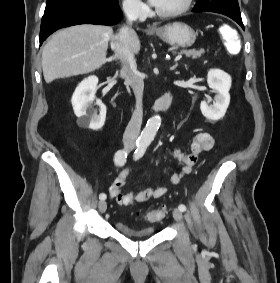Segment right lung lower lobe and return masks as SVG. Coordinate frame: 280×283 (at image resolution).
<instances>
[{
    "label": "right lung lower lobe",
    "mask_w": 280,
    "mask_h": 283,
    "mask_svg": "<svg viewBox=\"0 0 280 283\" xmlns=\"http://www.w3.org/2000/svg\"><path fill=\"white\" fill-rule=\"evenodd\" d=\"M122 18L118 0L108 7L70 6L44 12L41 21L40 45L60 28L78 24L114 25Z\"/></svg>",
    "instance_id": "98d812e1"
}]
</instances>
